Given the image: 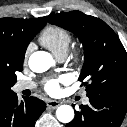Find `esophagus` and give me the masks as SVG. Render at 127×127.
Instances as JSON below:
<instances>
[{
  "label": "esophagus",
  "mask_w": 127,
  "mask_h": 127,
  "mask_svg": "<svg viewBox=\"0 0 127 127\" xmlns=\"http://www.w3.org/2000/svg\"><path fill=\"white\" fill-rule=\"evenodd\" d=\"M46 104H47L48 108H50V109H56L60 105V102L55 101V100H48L46 102Z\"/></svg>",
  "instance_id": "1"
}]
</instances>
